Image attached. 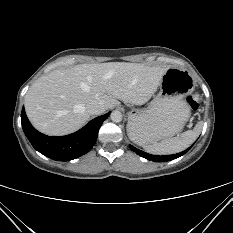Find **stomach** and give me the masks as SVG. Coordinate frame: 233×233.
<instances>
[{"label": "stomach", "instance_id": "0dacf381", "mask_svg": "<svg viewBox=\"0 0 233 233\" xmlns=\"http://www.w3.org/2000/svg\"><path fill=\"white\" fill-rule=\"evenodd\" d=\"M192 75L177 67H170L159 84V93L144 109L128 114V132L135 133L148 144L170 138L179 133L190 118L185 98L194 90Z\"/></svg>", "mask_w": 233, "mask_h": 233}]
</instances>
